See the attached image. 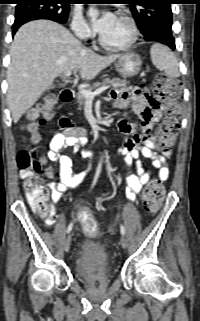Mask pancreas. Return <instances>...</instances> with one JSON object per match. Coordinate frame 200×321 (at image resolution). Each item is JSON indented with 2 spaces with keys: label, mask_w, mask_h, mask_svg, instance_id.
Returning a JSON list of instances; mask_svg holds the SVG:
<instances>
[{
  "label": "pancreas",
  "mask_w": 200,
  "mask_h": 321,
  "mask_svg": "<svg viewBox=\"0 0 200 321\" xmlns=\"http://www.w3.org/2000/svg\"><path fill=\"white\" fill-rule=\"evenodd\" d=\"M102 84H108V85H111L113 88H119V87H125L128 84V82L126 80H122L119 78H113V79L106 78L102 81V83H99V82L94 83L92 87L88 88V90L91 91L95 88H99ZM77 103L79 105L80 110L82 109V106H84L86 103V98L81 93H78L77 95Z\"/></svg>",
  "instance_id": "pancreas-1"
}]
</instances>
